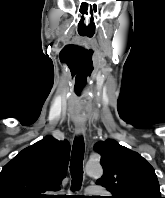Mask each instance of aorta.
I'll return each mask as SVG.
<instances>
[{
    "label": "aorta",
    "instance_id": "1",
    "mask_svg": "<svg viewBox=\"0 0 165 198\" xmlns=\"http://www.w3.org/2000/svg\"><path fill=\"white\" fill-rule=\"evenodd\" d=\"M86 174L89 176L100 177L103 174V170L98 163H89L85 167Z\"/></svg>",
    "mask_w": 165,
    "mask_h": 198
}]
</instances>
